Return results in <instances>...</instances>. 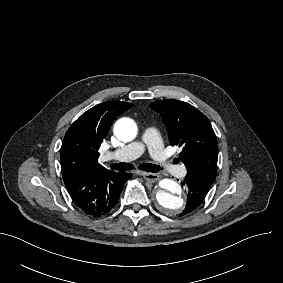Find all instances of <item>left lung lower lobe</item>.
<instances>
[{"label": "left lung lower lobe", "instance_id": "obj_1", "mask_svg": "<svg viewBox=\"0 0 283 283\" xmlns=\"http://www.w3.org/2000/svg\"><path fill=\"white\" fill-rule=\"evenodd\" d=\"M215 177L216 175L214 174L202 171L187 173L185 180L181 182V185L187 189V203L180 216L195 211L202 204Z\"/></svg>", "mask_w": 283, "mask_h": 283}]
</instances>
